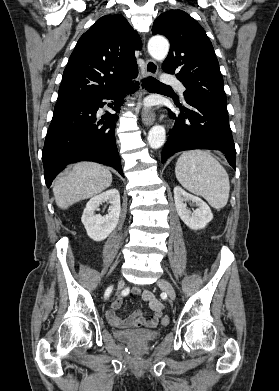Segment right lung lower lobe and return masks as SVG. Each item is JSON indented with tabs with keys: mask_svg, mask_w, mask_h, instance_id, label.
<instances>
[{
	"mask_svg": "<svg viewBox=\"0 0 279 391\" xmlns=\"http://www.w3.org/2000/svg\"><path fill=\"white\" fill-rule=\"evenodd\" d=\"M130 83L100 97L55 106L42 151L47 187L68 163L76 161L109 165L124 176L115 142L117 115H100L98 110L106 104L104 99H114L113 110L119 112Z\"/></svg>",
	"mask_w": 279,
	"mask_h": 391,
	"instance_id": "1",
	"label": "right lung lower lobe"
}]
</instances>
